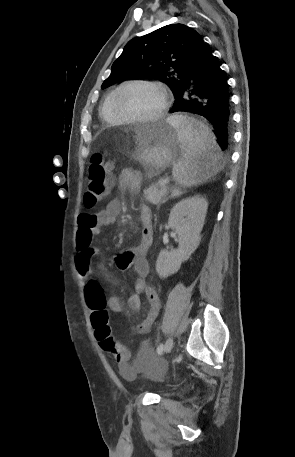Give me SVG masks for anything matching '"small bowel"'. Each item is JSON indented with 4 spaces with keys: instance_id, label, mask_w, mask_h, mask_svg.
<instances>
[{
    "instance_id": "1",
    "label": "small bowel",
    "mask_w": 295,
    "mask_h": 457,
    "mask_svg": "<svg viewBox=\"0 0 295 457\" xmlns=\"http://www.w3.org/2000/svg\"><path fill=\"white\" fill-rule=\"evenodd\" d=\"M118 185L122 191L138 193L141 188V178L138 173L130 169H124L119 174ZM120 212V202L112 200L99 212L82 213L78 217L79 229L76 238L75 269L78 278L85 284V288L89 281L94 280L92 261L98 254V249L92 245L93 237L100 234L105 226L116 223ZM139 219L142 224V233L138 245L118 253L114 258V263L120 270L132 268L136 275L133 292L128 299L129 308L138 309L142 295L147 298L149 303L148 314L135 328L137 332L143 333L148 331L156 320L159 313L160 299L157 292L146 282V276L149 271L146 254L153 242L152 216L148 206L141 205L139 207ZM103 298L111 311L115 313L123 311V305L118 297L109 296L105 298L103 296ZM125 361L121 360L119 363Z\"/></svg>"
}]
</instances>
